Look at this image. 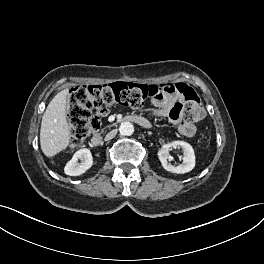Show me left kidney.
<instances>
[{
    "label": "left kidney",
    "instance_id": "obj_1",
    "mask_svg": "<svg viewBox=\"0 0 264 264\" xmlns=\"http://www.w3.org/2000/svg\"><path fill=\"white\" fill-rule=\"evenodd\" d=\"M180 146L184 151L183 163L178 166H173L169 163V151L171 147ZM158 157L165 170L172 173L184 174L191 171L195 167V154L192 146L184 141H174L162 146L158 152Z\"/></svg>",
    "mask_w": 264,
    "mask_h": 264
}]
</instances>
